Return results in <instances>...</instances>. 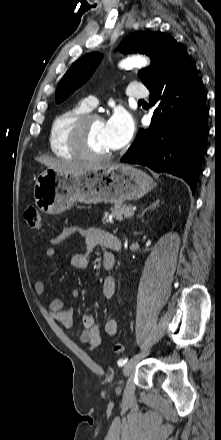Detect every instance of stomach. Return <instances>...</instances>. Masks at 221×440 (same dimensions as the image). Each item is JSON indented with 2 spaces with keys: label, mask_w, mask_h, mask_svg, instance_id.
I'll return each instance as SVG.
<instances>
[{
  "label": "stomach",
  "mask_w": 221,
  "mask_h": 440,
  "mask_svg": "<svg viewBox=\"0 0 221 440\" xmlns=\"http://www.w3.org/2000/svg\"><path fill=\"white\" fill-rule=\"evenodd\" d=\"M154 187L153 179L130 165L112 163L74 175L46 169L34 186L36 206L46 214H60L76 202L122 203L137 200Z\"/></svg>",
  "instance_id": "0dacf381"
}]
</instances>
